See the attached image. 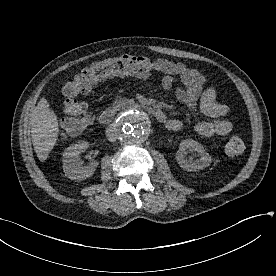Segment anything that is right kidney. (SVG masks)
Segmentation results:
<instances>
[{"label":"right kidney","instance_id":"1","mask_svg":"<svg viewBox=\"0 0 276 276\" xmlns=\"http://www.w3.org/2000/svg\"><path fill=\"white\" fill-rule=\"evenodd\" d=\"M89 147L85 141L78 142L68 147L63 154V171L71 180H85L92 176L98 166L97 161H92L89 165L82 166L80 154Z\"/></svg>","mask_w":276,"mask_h":276}]
</instances>
